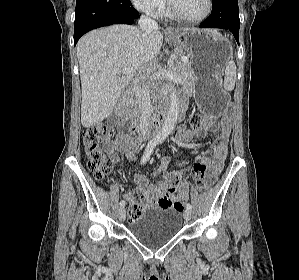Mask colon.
<instances>
[{
  "label": "colon",
  "instance_id": "colon-1",
  "mask_svg": "<svg viewBox=\"0 0 299 280\" xmlns=\"http://www.w3.org/2000/svg\"><path fill=\"white\" fill-rule=\"evenodd\" d=\"M209 119L206 115H194L190 121L191 126L199 127ZM111 139V130L104 125H94L83 132V144L87 156V165L96 180L104 181L111 178L114 159L103 151L102 146L108 144ZM194 174L197 187L203 189L209 187L212 181L208 178V166L204 161H199L194 165ZM174 209L182 211L184 201H176ZM143 205L136 203L129 207V219L134 221L143 213Z\"/></svg>",
  "mask_w": 299,
  "mask_h": 280
}]
</instances>
